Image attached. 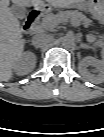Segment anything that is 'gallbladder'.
Instances as JSON below:
<instances>
[{"instance_id": "1", "label": "gallbladder", "mask_w": 104, "mask_h": 137, "mask_svg": "<svg viewBox=\"0 0 104 137\" xmlns=\"http://www.w3.org/2000/svg\"><path fill=\"white\" fill-rule=\"evenodd\" d=\"M10 10L17 18L21 19H23L27 14V10L24 7H20L17 5L12 6Z\"/></svg>"}]
</instances>
